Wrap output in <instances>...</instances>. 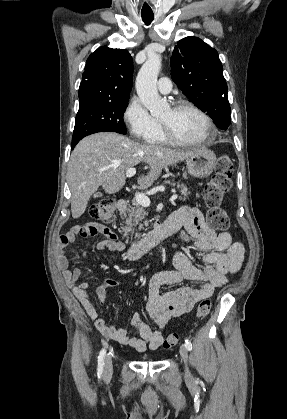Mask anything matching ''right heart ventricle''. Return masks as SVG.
<instances>
[{"label": "right heart ventricle", "instance_id": "1", "mask_svg": "<svg viewBox=\"0 0 287 419\" xmlns=\"http://www.w3.org/2000/svg\"><path fill=\"white\" fill-rule=\"evenodd\" d=\"M148 142L152 144H165L166 140L163 137L162 131L160 130L151 140Z\"/></svg>", "mask_w": 287, "mask_h": 419}]
</instances>
